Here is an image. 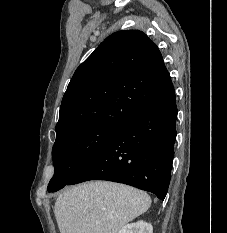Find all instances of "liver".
Instances as JSON below:
<instances>
[{
  "label": "liver",
  "instance_id": "obj_1",
  "mask_svg": "<svg viewBox=\"0 0 227 233\" xmlns=\"http://www.w3.org/2000/svg\"><path fill=\"white\" fill-rule=\"evenodd\" d=\"M150 196L127 185L93 181L69 188L55 202L60 233H118L146 212Z\"/></svg>",
  "mask_w": 227,
  "mask_h": 233
}]
</instances>
